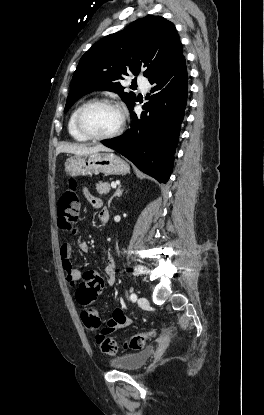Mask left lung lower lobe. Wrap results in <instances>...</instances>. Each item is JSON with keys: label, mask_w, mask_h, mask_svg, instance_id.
Returning <instances> with one entry per match:
<instances>
[{"label": "left lung lower lobe", "mask_w": 264, "mask_h": 415, "mask_svg": "<svg viewBox=\"0 0 264 415\" xmlns=\"http://www.w3.org/2000/svg\"><path fill=\"white\" fill-rule=\"evenodd\" d=\"M153 88L148 93L144 111L129 107L130 129L123 135L101 143L116 150L141 171L166 183L170 177L174 153L187 103L188 74L185 57L181 56L166 70L149 79ZM136 102V101H135Z\"/></svg>", "instance_id": "1"}]
</instances>
